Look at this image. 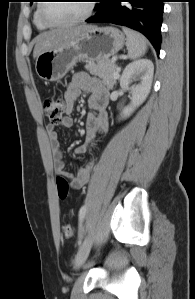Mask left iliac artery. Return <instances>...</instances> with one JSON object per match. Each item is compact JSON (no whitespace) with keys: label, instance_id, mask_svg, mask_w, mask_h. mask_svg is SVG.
<instances>
[{"label":"left iliac artery","instance_id":"left-iliac-artery-1","mask_svg":"<svg viewBox=\"0 0 195 299\" xmlns=\"http://www.w3.org/2000/svg\"><path fill=\"white\" fill-rule=\"evenodd\" d=\"M86 213V206H82L80 211H79V221H80V232H79V243H81V237H82V222L85 217Z\"/></svg>","mask_w":195,"mask_h":299}]
</instances>
